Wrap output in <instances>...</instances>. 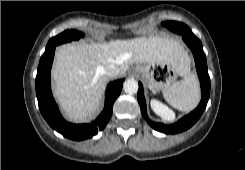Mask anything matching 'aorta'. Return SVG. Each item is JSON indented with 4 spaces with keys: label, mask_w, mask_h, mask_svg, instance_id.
Returning a JSON list of instances; mask_svg holds the SVG:
<instances>
[{
    "label": "aorta",
    "mask_w": 245,
    "mask_h": 170,
    "mask_svg": "<svg viewBox=\"0 0 245 170\" xmlns=\"http://www.w3.org/2000/svg\"><path fill=\"white\" fill-rule=\"evenodd\" d=\"M138 82L134 79H127L123 84V90L127 94H135L138 92Z\"/></svg>",
    "instance_id": "aorta-1"
}]
</instances>
